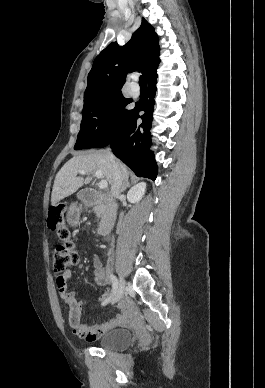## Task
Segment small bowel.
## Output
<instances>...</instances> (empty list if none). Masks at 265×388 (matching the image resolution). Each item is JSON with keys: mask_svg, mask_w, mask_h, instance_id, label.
<instances>
[{"mask_svg": "<svg viewBox=\"0 0 265 388\" xmlns=\"http://www.w3.org/2000/svg\"><path fill=\"white\" fill-rule=\"evenodd\" d=\"M93 266V277L95 285L98 287L105 286L108 283V278L98 255L93 256ZM70 277L71 271L67 269L62 274L63 283L58 288L64 302L65 310L67 311L69 326L77 337L86 341H94L109 329L117 326H126L131 324L132 317L129 310V303L125 299L118 300V303L116 302L119 313L108 321L94 323L93 325L82 323L81 314L83 302L76 299V293L74 291L68 290L67 281ZM112 297L113 293L110 290H106L101 298V304H107ZM63 323V319H61L59 321V325L63 326Z\"/></svg>", "mask_w": 265, "mask_h": 388, "instance_id": "obj_1", "label": "small bowel"}]
</instances>
